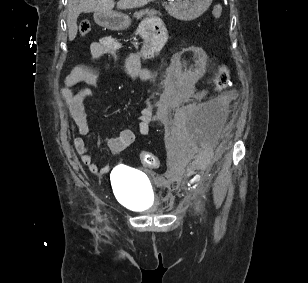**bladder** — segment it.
Returning a JSON list of instances; mask_svg holds the SVG:
<instances>
[{
  "label": "bladder",
  "mask_w": 308,
  "mask_h": 283,
  "mask_svg": "<svg viewBox=\"0 0 308 283\" xmlns=\"http://www.w3.org/2000/svg\"><path fill=\"white\" fill-rule=\"evenodd\" d=\"M111 183L116 198L125 206L141 212L154 211L156 198L145 174L119 166L111 172Z\"/></svg>",
  "instance_id": "bladder-1"
}]
</instances>
